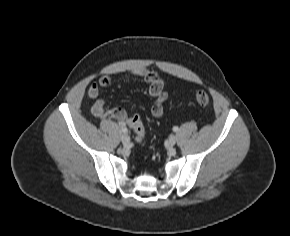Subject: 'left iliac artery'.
<instances>
[{"label":"left iliac artery","instance_id":"1","mask_svg":"<svg viewBox=\"0 0 290 236\" xmlns=\"http://www.w3.org/2000/svg\"><path fill=\"white\" fill-rule=\"evenodd\" d=\"M178 130H179V128H178L177 126H174V127H173V131H174V132H177Z\"/></svg>","mask_w":290,"mask_h":236}]
</instances>
